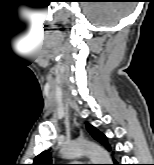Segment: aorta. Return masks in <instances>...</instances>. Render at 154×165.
<instances>
[{
    "instance_id": "1",
    "label": "aorta",
    "mask_w": 154,
    "mask_h": 165,
    "mask_svg": "<svg viewBox=\"0 0 154 165\" xmlns=\"http://www.w3.org/2000/svg\"><path fill=\"white\" fill-rule=\"evenodd\" d=\"M61 154L65 159H74L86 154L93 164H111L112 161L105 149L89 142L75 141L66 144L62 147Z\"/></svg>"
}]
</instances>
